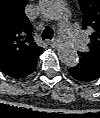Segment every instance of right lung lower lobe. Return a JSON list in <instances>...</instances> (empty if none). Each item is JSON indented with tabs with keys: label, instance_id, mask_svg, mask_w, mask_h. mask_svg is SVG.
Here are the masks:
<instances>
[{
	"label": "right lung lower lobe",
	"instance_id": "right-lung-lower-lobe-1",
	"mask_svg": "<svg viewBox=\"0 0 100 118\" xmlns=\"http://www.w3.org/2000/svg\"><path fill=\"white\" fill-rule=\"evenodd\" d=\"M35 67H36V65H35ZM35 67L31 70V72H30L29 74H31V73L35 70ZM29 74H28V75H29ZM28 75H27V76H28Z\"/></svg>",
	"mask_w": 100,
	"mask_h": 118
}]
</instances>
